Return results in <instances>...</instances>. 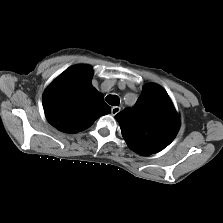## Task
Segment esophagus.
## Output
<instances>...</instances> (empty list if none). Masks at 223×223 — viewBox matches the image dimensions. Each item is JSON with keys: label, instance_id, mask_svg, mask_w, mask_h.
Segmentation results:
<instances>
[{"label": "esophagus", "instance_id": "1", "mask_svg": "<svg viewBox=\"0 0 223 223\" xmlns=\"http://www.w3.org/2000/svg\"><path fill=\"white\" fill-rule=\"evenodd\" d=\"M121 108L119 106H114L111 108V114L116 115L120 112Z\"/></svg>", "mask_w": 223, "mask_h": 223}]
</instances>
